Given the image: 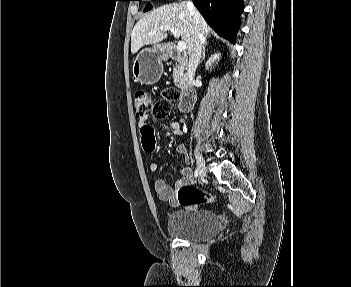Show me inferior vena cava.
<instances>
[{"instance_id": "602c4592", "label": "inferior vena cava", "mask_w": 351, "mask_h": 287, "mask_svg": "<svg viewBox=\"0 0 351 287\" xmlns=\"http://www.w3.org/2000/svg\"><path fill=\"white\" fill-rule=\"evenodd\" d=\"M186 5H187V8H188L190 14L193 16L196 25H199L200 15H199L196 7L192 3V1H188L186 3ZM204 43H205L204 34H203L201 29L197 28L195 44H194V47L192 49L191 54L189 55V61H188V65H187V74L186 75H187L189 84L194 83L195 71H196L197 66L199 64V61H200L201 52H202V48H203Z\"/></svg>"}]
</instances>
